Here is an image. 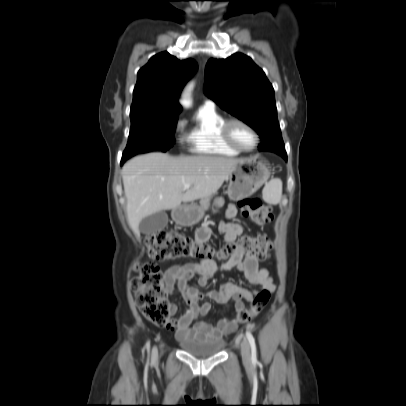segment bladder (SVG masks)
Wrapping results in <instances>:
<instances>
[{"label":"bladder","mask_w":406,"mask_h":406,"mask_svg":"<svg viewBox=\"0 0 406 406\" xmlns=\"http://www.w3.org/2000/svg\"><path fill=\"white\" fill-rule=\"evenodd\" d=\"M179 344L183 351L197 357L212 356L219 352L222 344L210 341H193L181 339Z\"/></svg>","instance_id":"1"}]
</instances>
